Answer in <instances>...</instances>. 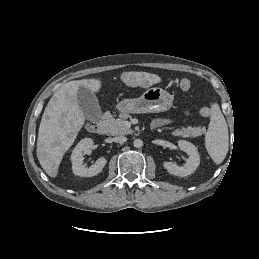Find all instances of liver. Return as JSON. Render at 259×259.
Instances as JSON below:
<instances>
[{
    "label": "liver",
    "mask_w": 259,
    "mask_h": 259,
    "mask_svg": "<svg viewBox=\"0 0 259 259\" xmlns=\"http://www.w3.org/2000/svg\"><path fill=\"white\" fill-rule=\"evenodd\" d=\"M121 80L128 87L148 88L161 82L156 74L123 72ZM101 80L91 78L69 81L61 86L49 100L43 113L37 139V158L43 170L52 178L58 174L65 152L74 143L85 123V116L77 101L80 86L98 92Z\"/></svg>",
    "instance_id": "liver-1"
}]
</instances>
